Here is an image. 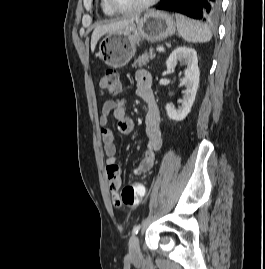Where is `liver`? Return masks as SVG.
Listing matches in <instances>:
<instances>
[{
	"label": "liver",
	"mask_w": 265,
	"mask_h": 269,
	"mask_svg": "<svg viewBox=\"0 0 265 269\" xmlns=\"http://www.w3.org/2000/svg\"><path fill=\"white\" fill-rule=\"evenodd\" d=\"M136 19H138V17H131L95 27L91 36V51L94 52L97 42L103 35L110 32L121 31L124 27L134 22Z\"/></svg>",
	"instance_id": "liver-1"
}]
</instances>
